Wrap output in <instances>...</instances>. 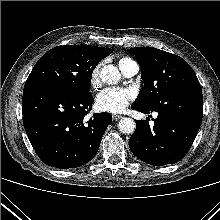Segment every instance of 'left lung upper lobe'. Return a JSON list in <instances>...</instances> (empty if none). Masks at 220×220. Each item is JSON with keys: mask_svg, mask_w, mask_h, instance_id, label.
Wrapping results in <instances>:
<instances>
[{"mask_svg": "<svg viewBox=\"0 0 220 220\" xmlns=\"http://www.w3.org/2000/svg\"><path fill=\"white\" fill-rule=\"evenodd\" d=\"M130 52L145 81L134 105L151 108L182 91L201 89L195 72L181 57L152 47H135Z\"/></svg>", "mask_w": 220, "mask_h": 220, "instance_id": "1", "label": "left lung upper lobe"}]
</instances>
